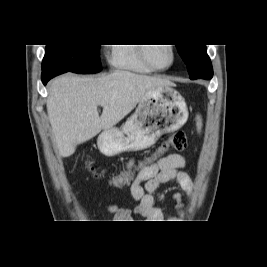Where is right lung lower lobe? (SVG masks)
<instances>
[{
    "instance_id": "right-lung-lower-lobe-1",
    "label": "right lung lower lobe",
    "mask_w": 267,
    "mask_h": 267,
    "mask_svg": "<svg viewBox=\"0 0 267 267\" xmlns=\"http://www.w3.org/2000/svg\"><path fill=\"white\" fill-rule=\"evenodd\" d=\"M67 71L65 70H61V69H55V68H48V69H44L42 70V82L44 85L47 84V82L52 79L53 77L66 73Z\"/></svg>"
}]
</instances>
